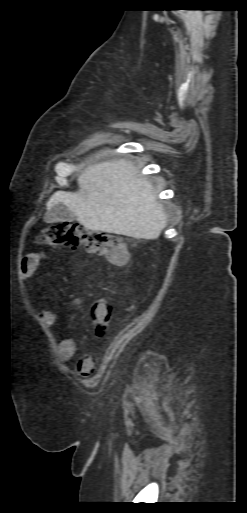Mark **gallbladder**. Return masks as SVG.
<instances>
[{
    "mask_svg": "<svg viewBox=\"0 0 247 513\" xmlns=\"http://www.w3.org/2000/svg\"><path fill=\"white\" fill-rule=\"evenodd\" d=\"M76 219L75 214L63 204H58L47 214L48 223L72 222Z\"/></svg>",
    "mask_w": 247,
    "mask_h": 513,
    "instance_id": "gallbladder-1",
    "label": "gallbladder"
}]
</instances>
